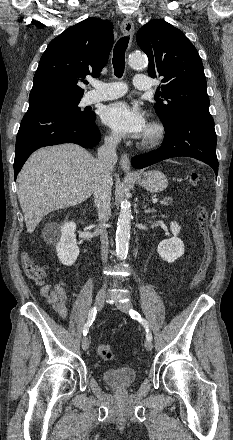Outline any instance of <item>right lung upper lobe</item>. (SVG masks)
I'll return each mask as SVG.
<instances>
[{
  "label": "right lung upper lobe",
  "instance_id": "right-lung-upper-lobe-1",
  "mask_svg": "<svg viewBox=\"0 0 233 440\" xmlns=\"http://www.w3.org/2000/svg\"><path fill=\"white\" fill-rule=\"evenodd\" d=\"M113 45L112 24L88 18L53 39L33 79L29 105L55 99L82 98L86 75L99 77Z\"/></svg>",
  "mask_w": 233,
  "mask_h": 440
}]
</instances>
